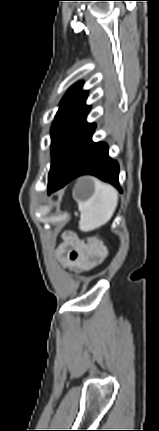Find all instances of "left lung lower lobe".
Listing matches in <instances>:
<instances>
[{"mask_svg":"<svg viewBox=\"0 0 159 431\" xmlns=\"http://www.w3.org/2000/svg\"><path fill=\"white\" fill-rule=\"evenodd\" d=\"M94 130L95 124H92L78 135L67 152L59 173L48 185L49 194L84 174L97 176L121 191L118 163L109 157L107 144L92 141Z\"/></svg>","mask_w":159,"mask_h":431,"instance_id":"1","label":"left lung lower lobe"}]
</instances>
